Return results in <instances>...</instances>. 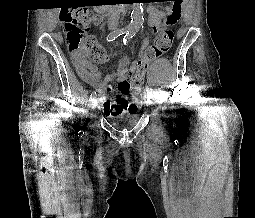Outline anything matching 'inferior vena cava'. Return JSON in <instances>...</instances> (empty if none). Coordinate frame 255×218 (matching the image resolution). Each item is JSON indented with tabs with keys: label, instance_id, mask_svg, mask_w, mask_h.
<instances>
[{
	"label": "inferior vena cava",
	"instance_id": "602c4592",
	"mask_svg": "<svg viewBox=\"0 0 255 218\" xmlns=\"http://www.w3.org/2000/svg\"><path fill=\"white\" fill-rule=\"evenodd\" d=\"M118 25V16L115 14H112L108 18V26L109 28H116Z\"/></svg>",
	"mask_w": 255,
	"mask_h": 218
}]
</instances>
